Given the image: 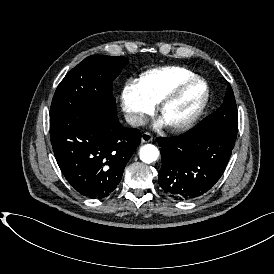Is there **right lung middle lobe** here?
<instances>
[{"label":"right lung middle lobe","instance_id":"dd1d6c3e","mask_svg":"<svg viewBox=\"0 0 274 274\" xmlns=\"http://www.w3.org/2000/svg\"><path fill=\"white\" fill-rule=\"evenodd\" d=\"M127 63L122 56L92 55L70 70L54 93L50 124L87 112L116 111L112 82Z\"/></svg>","mask_w":274,"mask_h":274}]
</instances>
